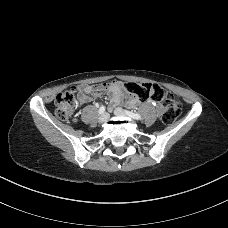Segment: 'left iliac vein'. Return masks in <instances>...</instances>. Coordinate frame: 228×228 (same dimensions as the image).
I'll return each mask as SVG.
<instances>
[{
  "instance_id": "obj_1",
  "label": "left iliac vein",
  "mask_w": 228,
  "mask_h": 228,
  "mask_svg": "<svg viewBox=\"0 0 228 228\" xmlns=\"http://www.w3.org/2000/svg\"><path fill=\"white\" fill-rule=\"evenodd\" d=\"M114 114H115L116 116H128V114L126 113V111H124V110L121 109V108H116V109L114 110Z\"/></svg>"
}]
</instances>
